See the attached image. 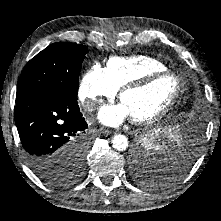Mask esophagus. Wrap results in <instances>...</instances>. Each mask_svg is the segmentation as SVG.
<instances>
[{
    "mask_svg": "<svg viewBox=\"0 0 221 221\" xmlns=\"http://www.w3.org/2000/svg\"><path fill=\"white\" fill-rule=\"evenodd\" d=\"M100 132H101V133H103V134H106V135H108V134H111V133H112V131H111V130H108V129H105V128H101V129H100Z\"/></svg>",
    "mask_w": 221,
    "mask_h": 221,
    "instance_id": "obj_1",
    "label": "esophagus"
}]
</instances>
